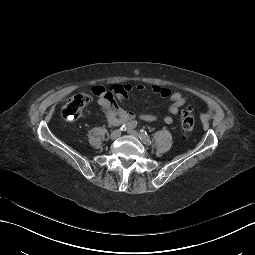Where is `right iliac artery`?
Here are the masks:
<instances>
[{
  "mask_svg": "<svg viewBox=\"0 0 255 255\" xmlns=\"http://www.w3.org/2000/svg\"><path fill=\"white\" fill-rule=\"evenodd\" d=\"M136 125H137L136 121H131V122H128V123L122 125L120 129L123 130V131H126V130H130V129L135 128Z\"/></svg>",
  "mask_w": 255,
  "mask_h": 255,
  "instance_id": "1",
  "label": "right iliac artery"
}]
</instances>
